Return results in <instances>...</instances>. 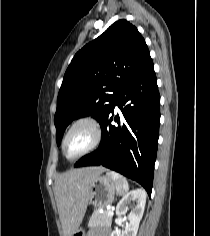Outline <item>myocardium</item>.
<instances>
[{"instance_id":"myocardium-1","label":"myocardium","mask_w":210,"mask_h":236,"mask_svg":"<svg viewBox=\"0 0 210 236\" xmlns=\"http://www.w3.org/2000/svg\"><path fill=\"white\" fill-rule=\"evenodd\" d=\"M81 124H86L91 128L92 133H93L92 141L83 151H81L80 153L76 154L73 157H68L65 153L66 140L68 136L70 135V133L73 131V129ZM102 138H103V128L100 122L96 118L92 116H83V117L77 118L69 125V127L66 129L62 137L61 145H60L61 153L66 160L75 161L85 156L86 154L92 152L93 150H95L100 145Z\"/></svg>"}]
</instances>
